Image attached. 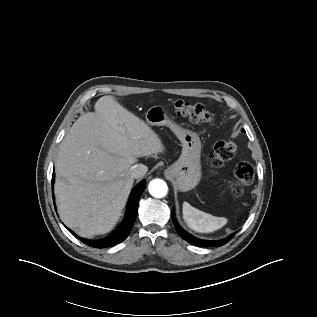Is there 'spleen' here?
<instances>
[{
    "label": "spleen",
    "mask_w": 317,
    "mask_h": 317,
    "mask_svg": "<svg viewBox=\"0 0 317 317\" xmlns=\"http://www.w3.org/2000/svg\"><path fill=\"white\" fill-rule=\"evenodd\" d=\"M183 219L188 227L199 233L214 232L228 222L225 217H216L194 208L188 202L183 203Z\"/></svg>",
    "instance_id": "3e777b00"
}]
</instances>
